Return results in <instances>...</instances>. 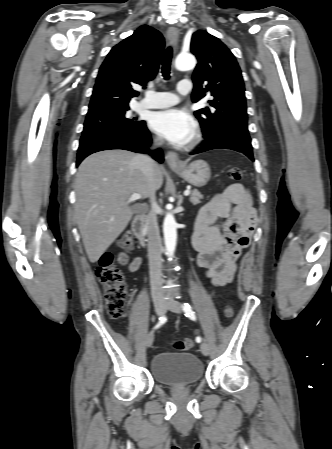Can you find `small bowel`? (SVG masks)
Returning <instances> with one entry per match:
<instances>
[{
  "label": "small bowel",
  "mask_w": 332,
  "mask_h": 449,
  "mask_svg": "<svg viewBox=\"0 0 332 449\" xmlns=\"http://www.w3.org/2000/svg\"><path fill=\"white\" fill-rule=\"evenodd\" d=\"M256 225L251 196L240 184L229 186L200 209L193 245L199 254L198 265L206 270L214 286L222 287L233 280L237 261L248 247ZM119 260L125 263L128 258L121 254ZM140 264L139 257L132 258L129 270L137 271Z\"/></svg>",
  "instance_id": "small-bowel-1"
}]
</instances>
